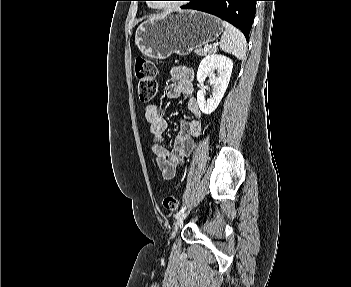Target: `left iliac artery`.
Segmentation results:
<instances>
[{"label":"left iliac artery","instance_id":"left-iliac-artery-1","mask_svg":"<svg viewBox=\"0 0 351 287\" xmlns=\"http://www.w3.org/2000/svg\"><path fill=\"white\" fill-rule=\"evenodd\" d=\"M186 210V206H183L179 212H177V214L175 215L176 218H178L184 211Z\"/></svg>","mask_w":351,"mask_h":287}]
</instances>
